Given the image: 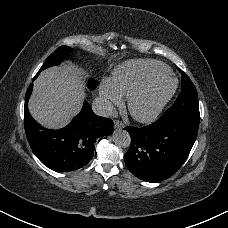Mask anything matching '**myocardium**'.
Here are the masks:
<instances>
[{
	"instance_id": "myocardium-1",
	"label": "myocardium",
	"mask_w": 228,
	"mask_h": 228,
	"mask_svg": "<svg viewBox=\"0 0 228 228\" xmlns=\"http://www.w3.org/2000/svg\"><path fill=\"white\" fill-rule=\"evenodd\" d=\"M167 80V78H159L148 81L130 96V99L128 101V107L130 113L136 120L144 123H150L158 116L162 108L171 98L174 88L169 90L147 113L139 112L137 110V103L155 84Z\"/></svg>"
}]
</instances>
